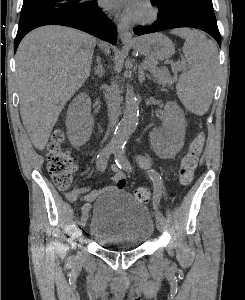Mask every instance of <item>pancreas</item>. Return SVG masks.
Returning <instances> with one entry per match:
<instances>
[{
  "mask_svg": "<svg viewBox=\"0 0 245 300\" xmlns=\"http://www.w3.org/2000/svg\"><path fill=\"white\" fill-rule=\"evenodd\" d=\"M146 62L150 63L149 69L157 83H159L162 86H165L171 85L174 82H176L177 78L171 77L168 71L157 68V63L155 61L148 60ZM175 69L178 70L179 67L176 66Z\"/></svg>",
  "mask_w": 245,
  "mask_h": 300,
  "instance_id": "pancreas-1",
  "label": "pancreas"
}]
</instances>
